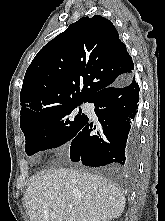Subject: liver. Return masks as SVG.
I'll list each match as a JSON object with an SVG mask.
<instances>
[{
    "mask_svg": "<svg viewBox=\"0 0 165 221\" xmlns=\"http://www.w3.org/2000/svg\"><path fill=\"white\" fill-rule=\"evenodd\" d=\"M125 203L120 189L107 178L75 169L44 170L24 194L30 221H109L122 214Z\"/></svg>",
    "mask_w": 165,
    "mask_h": 221,
    "instance_id": "1",
    "label": "liver"
}]
</instances>
